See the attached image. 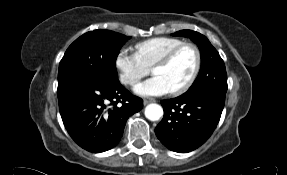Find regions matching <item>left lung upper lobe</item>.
I'll return each instance as SVG.
<instances>
[{
	"label": "left lung upper lobe",
	"mask_w": 287,
	"mask_h": 175,
	"mask_svg": "<svg viewBox=\"0 0 287 175\" xmlns=\"http://www.w3.org/2000/svg\"><path fill=\"white\" fill-rule=\"evenodd\" d=\"M173 35L190 38L200 49V72L186 93L196 94L201 92H212L221 96H226L227 74L225 65L219 53L209 40L204 35L191 30L178 31Z\"/></svg>",
	"instance_id": "1"
}]
</instances>
